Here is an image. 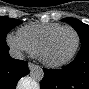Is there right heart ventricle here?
<instances>
[{
  "mask_svg": "<svg viewBox=\"0 0 89 89\" xmlns=\"http://www.w3.org/2000/svg\"><path fill=\"white\" fill-rule=\"evenodd\" d=\"M62 25L58 23L28 24L18 30V37L25 43L28 52L37 55L38 50L45 38Z\"/></svg>",
  "mask_w": 89,
  "mask_h": 89,
  "instance_id": "1",
  "label": "right heart ventricle"
}]
</instances>
